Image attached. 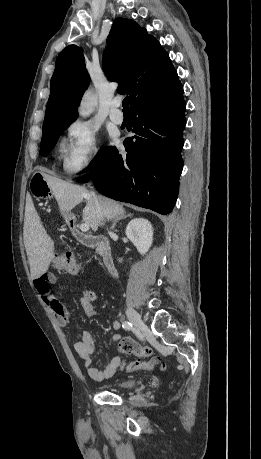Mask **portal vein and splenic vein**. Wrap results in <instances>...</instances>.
<instances>
[{
    "mask_svg": "<svg viewBox=\"0 0 261 459\" xmlns=\"http://www.w3.org/2000/svg\"><path fill=\"white\" fill-rule=\"evenodd\" d=\"M89 228H90V226H89L88 224H86V223H83V224L80 225V230H81L82 232L88 231Z\"/></svg>",
    "mask_w": 261,
    "mask_h": 459,
    "instance_id": "18ae733b",
    "label": "portal vein and splenic vein"
}]
</instances>
